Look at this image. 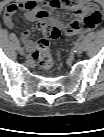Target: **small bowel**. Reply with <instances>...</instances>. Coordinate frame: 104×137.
Returning <instances> with one entry per match:
<instances>
[{"mask_svg":"<svg viewBox=\"0 0 104 137\" xmlns=\"http://www.w3.org/2000/svg\"><path fill=\"white\" fill-rule=\"evenodd\" d=\"M46 9H66L77 18L68 25H63L59 18H53L52 22L62 28L65 35H77L95 28L102 19L100 8L90 0H26L9 4L3 14V22L7 28L14 26V15L18 11H25V17L29 21H36V14ZM85 20V21H83ZM20 39L29 49L33 51V43L30 40V32L24 30Z\"/></svg>","mask_w":104,"mask_h":137,"instance_id":"obj_1","label":"small bowel"}]
</instances>
